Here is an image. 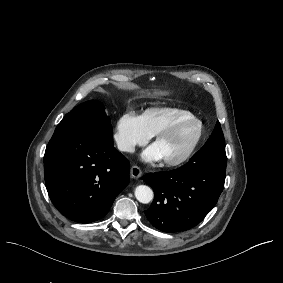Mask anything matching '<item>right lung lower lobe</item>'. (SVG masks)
I'll use <instances>...</instances> for the list:
<instances>
[{"mask_svg":"<svg viewBox=\"0 0 283 283\" xmlns=\"http://www.w3.org/2000/svg\"><path fill=\"white\" fill-rule=\"evenodd\" d=\"M129 161L111 136L63 130L54 132L44 155L45 184L58 211L90 223L103 218L129 183Z\"/></svg>","mask_w":283,"mask_h":283,"instance_id":"obj_1","label":"right lung lower lobe"}]
</instances>
